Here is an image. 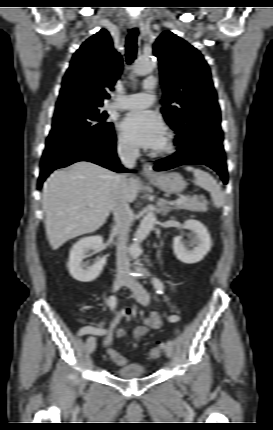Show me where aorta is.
<instances>
[{"mask_svg": "<svg viewBox=\"0 0 273 430\" xmlns=\"http://www.w3.org/2000/svg\"><path fill=\"white\" fill-rule=\"evenodd\" d=\"M156 66L155 60L150 56H144L137 60L134 72L139 76H145L153 72ZM156 223V216L149 208L135 232L134 242L129 248V254L135 259L139 256L140 243L149 235Z\"/></svg>", "mask_w": 273, "mask_h": 430, "instance_id": "obj_1", "label": "aorta"}]
</instances>
